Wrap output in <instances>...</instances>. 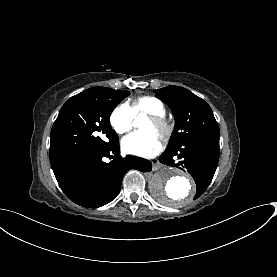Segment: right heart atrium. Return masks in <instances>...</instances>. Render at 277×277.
I'll list each match as a JSON object with an SVG mask.
<instances>
[{"label": "right heart atrium", "mask_w": 277, "mask_h": 277, "mask_svg": "<svg viewBox=\"0 0 277 277\" xmlns=\"http://www.w3.org/2000/svg\"><path fill=\"white\" fill-rule=\"evenodd\" d=\"M110 123L118 134L129 132L133 123V116L129 108L124 105L116 107L110 116Z\"/></svg>", "instance_id": "right-heart-atrium-1"}]
</instances>
